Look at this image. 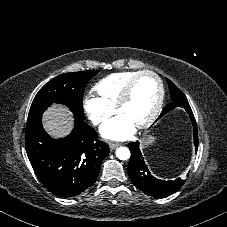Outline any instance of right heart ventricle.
Wrapping results in <instances>:
<instances>
[{"label": "right heart ventricle", "instance_id": "obj_1", "mask_svg": "<svg viewBox=\"0 0 227 227\" xmlns=\"http://www.w3.org/2000/svg\"><path fill=\"white\" fill-rule=\"evenodd\" d=\"M139 71H121L101 79L94 87L95 94L108 105L115 107L116 102L128 81Z\"/></svg>", "mask_w": 227, "mask_h": 227}]
</instances>
